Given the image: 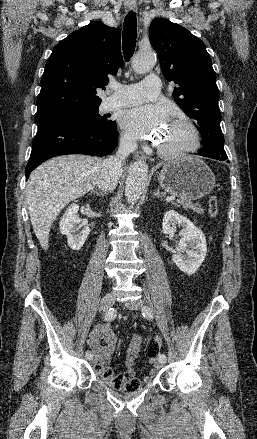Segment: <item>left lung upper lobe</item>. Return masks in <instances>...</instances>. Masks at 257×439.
<instances>
[{
    "mask_svg": "<svg viewBox=\"0 0 257 439\" xmlns=\"http://www.w3.org/2000/svg\"><path fill=\"white\" fill-rule=\"evenodd\" d=\"M149 38L165 78L177 84L173 90L176 103L201 132L204 145L199 154L209 158L227 156L220 127L216 75L205 44L166 19L152 21Z\"/></svg>",
    "mask_w": 257,
    "mask_h": 439,
    "instance_id": "obj_1",
    "label": "left lung upper lobe"
}]
</instances>
